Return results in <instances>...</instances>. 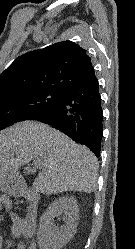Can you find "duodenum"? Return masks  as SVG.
Wrapping results in <instances>:
<instances>
[{"label": "duodenum", "mask_w": 135, "mask_h": 249, "mask_svg": "<svg viewBox=\"0 0 135 249\" xmlns=\"http://www.w3.org/2000/svg\"><path fill=\"white\" fill-rule=\"evenodd\" d=\"M25 199L29 202V210L36 211L38 210L40 197L39 194L31 187H26L22 190Z\"/></svg>", "instance_id": "obj_1"}]
</instances>
